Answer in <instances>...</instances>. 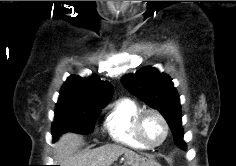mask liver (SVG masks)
Returning <instances> with one entry per match:
<instances>
[{
	"mask_svg": "<svg viewBox=\"0 0 236 166\" xmlns=\"http://www.w3.org/2000/svg\"><path fill=\"white\" fill-rule=\"evenodd\" d=\"M83 139L75 133H66L57 142L56 159L61 166H111L124 155L125 165L148 166L151 161L120 145H104L75 154Z\"/></svg>",
	"mask_w": 236,
	"mask_h": 166,
	"instance_id": "obj_1",
	"label": "liver"
}]
</instances>
